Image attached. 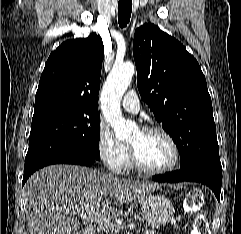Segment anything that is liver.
I'll use <instances>...</instances> for the list:
<instances>
[{
  "mask_svg": "<svg viewBox=\"0 0 241 234\" xmlns=\"http://www.w3.org/2000/svg\"><path fill=\"white\" fill-rule=\"evenodd\" d=\"M152 182L122 179L75 165H51L35 172L24 185L26 234H80L78 217L112 218L127 202L151 195ZM98 205V207H96Z\"/></svg>",
  "mask_w": 241,
  "mask_h": 234,
  "instance_id": "6515ba94",
  "label": "liver"
}]
</instances>
